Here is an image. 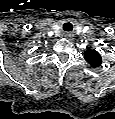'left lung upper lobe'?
Returning a JSON list of instances; mask_svg holds the SVG:
<instances>
[{"label": "left lung upper lobe", "mask_w": 115, "mask_h": 119, "mask_svg": "<svg viewBox=\"0 0 115 119\" xmlns=\"http://www.w3.org/2000/svg\"><path fill=\"white\" fill-rule=\"evenodd\" d=\"M84 58L93 67H98L102 64V58L96 50H91L88 48L84 53Z\"/></svg>", "instance_id": "5c2ea615"}]
</instances>
